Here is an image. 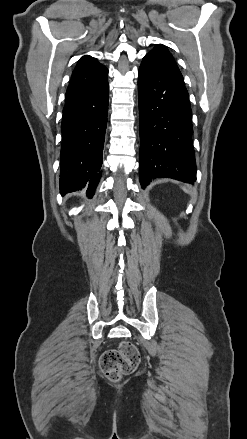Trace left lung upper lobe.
<instances>
[{
    "label": "left lung upper lobe",
    "mask_w": 247,
    "mask_h": 439,
    "mask_svg": "<svg viewBox=\"0 0 247 439\" xmlns=\"http://www.w3.org/2000/svg\"><path fill=\"white\" fill-rule=\"evenodd\" d=\"M144 60L154 63L166 73L183 82L182 74L172 54L164 45H156L153 50L146 54Z\"/></svg>",
    "instance_id": "obj_1"
}]
</instances>
